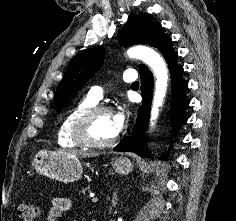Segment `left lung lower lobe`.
<instances>
[{"mask_svg": "<svg viewBox=\"0 0 236 221\" xmlns=\"http://www.w3.org/2000/svg\"><path fill=\"white\" fill-rule=\"evenodd\" d=\"M153 47L160 50V52L164 55L171 73V120L173 122V128H175L185 121L184 111L189 104L185 96L188 89V84L182 78L183 67L177 64L178 53L172 47V40L164 34L155 42ZM139 73L142 82L141 92L144 103L139 108L134 134L133 137L126 138V140L116 146L114 150L133 151L140 156L149 157V152L146 147V139L144 136V126L149 117L154 79L150 70L143 65L139 68ZM166 156L167 155H164L162 159H166Z\"/></svg>", "mask_w": 236, "mask_h": 221, "instance_id": "obj_1", "label": "left lung lower lobe"}]
</instances>
